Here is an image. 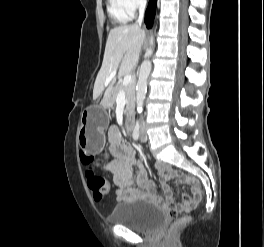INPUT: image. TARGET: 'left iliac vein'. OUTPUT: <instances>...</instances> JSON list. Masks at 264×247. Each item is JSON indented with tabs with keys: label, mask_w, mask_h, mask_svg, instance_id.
<instances>
[{
	"label": "left iliac vein",
	"mask_w": 264,
	"mask_h": 247,
	"mask_svg": "<svg viewBox=\"0 0 264 247\" xmlns=\"http://www.w3.org/2000/svg\"><path fill=\"white\" fill-rule=\"evenodd\" d=\"M140 140L142 142H146L147 141V135H146V132H145V129L144 128H142Z\"/></svg>",
	"instance_id": "obj_1"
}]
</instances>
